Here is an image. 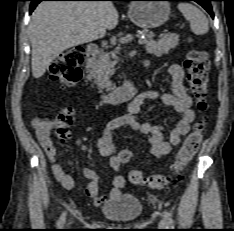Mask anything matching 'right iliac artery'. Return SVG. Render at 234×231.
<instances>
[{
	"mask_svg": "<svg viewBox=\"0 0 234 231\" xmlns=\"http://www.w3.org/2000/svg\"><path fill=\"white\" fill-rule=\"evenodd\" d=\"M65 219H66V212H63L62 215L60 216L58 222H57V226L59 228H62L63 225H64V222H65Z\"/></svg>",
	"mask_w": 234,
	"mask_h": 231,
	"instance_id": "right-iliac-artery-1",
	"label": "right iliac artery"
}]
</instances>
